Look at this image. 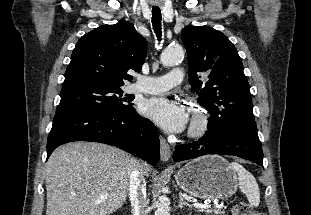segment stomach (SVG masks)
I'll use <instances>...</instances> for the list:
<instances>
[{
	"instance_id": "1",
	"label": "stomach",
	"mask_w": 311,
	"mask_h": 215,
	"mask_svg": "<svg viewBox=\"0 0 311 215\" xmlns=\"http://www.w3.org/2000/svg\"><path fill=\"white\" fill-rule=\"evenodd\" d=\"M178 186L199 199L219 200L237 191L236 172L223 157L207 155L188 162L175 175Z\"/></svg>"
}]
</instances>
